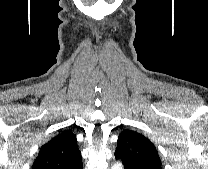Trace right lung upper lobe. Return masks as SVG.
Masks as SVG:
<instances>
[{
    "label": "right lung upper lobe",
    "mask_w": 208,
    "mask_h": 169,
    "mask_svg": "<svg viewBox=\"0 0 208 169\" xmlns=\"http://www.w3.org/2000/svg\"><path fill=\"white\" fill-rule=\"evenodd\" d=\"M80 161L76 136L64 130L41 147L32 169H70Z\"/></svg>",
    "instance_id": "cb5924a9"
}]
</instances>
